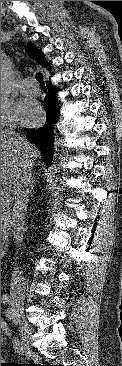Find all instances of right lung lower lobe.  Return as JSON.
Wrapping results in <instances>:
<instances>
[{"instance_id": "98d812e1", "label": "right lung lower lobe", "mask_w": 122, "mask_h": 366, "mask_svg": "<svg viewBox=\"0 0 122 366\" xmlns=\"http://www.w3.org/2000/svg\"><path fill=\"white\" fill-rule=\"evenodd\" d=\"M58 92L52 84H49L48 94L44 99V109L46 110V122L42 128L27 129V138L35 143L49 165L53 159L54 145V125L58 121L59 105L56 98Z\"/></svg>"}]
</instances>
